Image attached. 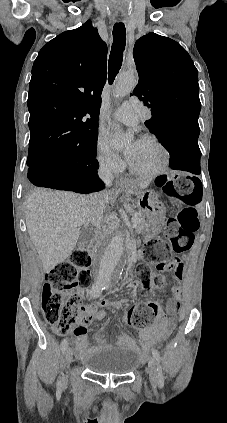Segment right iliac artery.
Instances as JSON below:
<instances>
[{"label": "right iliac artery", "instance_id": "right-iliac-artery-1", "mask_svg": "<svg viewBox=\"0 0 227 423\" xmlns=\"http://www.w3.org/2000/svg\"><path fill=\"white\" fill-rule=\"evenodd\" d=\"M103 289H104V285L103 284H101V285L100 284L94 285L92 287V296L94 298L95 297H98L100 295V293L102 292ZM67 346H68V339L66 338V339H63V341L61 342V349H62L63 352L66 351ZM61 387H62V382H61V379H59L57 381V388L58 389H61Z\"/></svg>", "mask_w": 227, "mask_h": 423}]
</instances>
